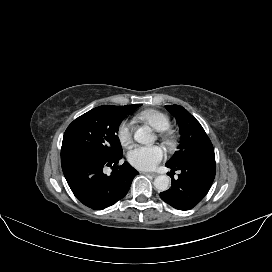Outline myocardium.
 <instances>
[{"instance_id": "myocardium-1", "label": "myocardium", "mask_w": 272, "mask_h": 272, "mask_svg": "<svg viewBox=\"0 0 272 272\" xmlns=\"http://www.w3.org/2000/svg\"><path fill=\"white\" fill-rule=\"evenodd\" d=\"M161 136H163V137L167 138V137H169V136H170V132H169V131H167V130H165V131H163V132L161 133Z\"/></svg>"}]
</instances>
